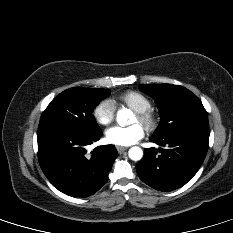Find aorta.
Here are the masks:
<instances>
[{
    "mask_svg": "<svg viewBox=\"0 0 233 233\" xmlns=\"http://www.w3.org/2000/svg\"><path fill=\"white\" fill-rule=\"evenodd\" d=\"M133 113L130 109L123 108L118 110L116 120L117 123L124 127L132 123ZM129 158L134 161H139L143 157V151L140 147H131L128 151Z\"/></svg>",
    "mask_w": 233,
    "mask_h": 233,
    "instance_id": "762f6f07",
    "label": "aorta"
}]
</instances>
